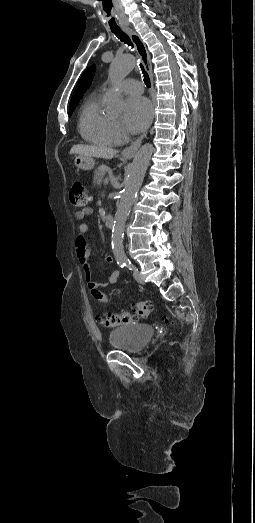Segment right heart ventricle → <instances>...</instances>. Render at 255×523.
<instances>
[{
    "mask_svg": "<svg viewBox=\"0 0 255 523\" xmlns=\"http://www.w3.org/2000/svg\"><path fill=\"white\" fill-rule=\"evenodd\" d=\"M103 101L104 95L99 94L85 102L80 115L79 131L86 142L97 146H112L118 143V130L112 117L103 113Z\"/></svg>",
    "mask_w": 255,
    "mask_h": 523,
    "instance_id": "e07e8e85",
    "label": "right heart ventricle"
}]
</instances>
